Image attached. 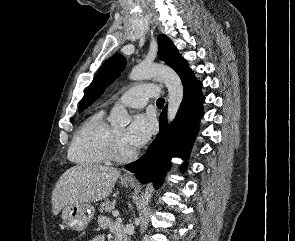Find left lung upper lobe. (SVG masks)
<instances>
[{
	"instance_id": "1",
	"label": "left lung upper lobe",
	"mask_w": 295,
	"mask_h": 241,
	"mask_svg": "<svg viewBox=\"0 0 295 241\" xmlns=\"http://www.w3.org/2000/svg\"><path fill=\"white\" fill-rule=\"evenodd\" d=\"M158 44L159 58L178 73L182 83L193 75L185 59L181 57L172 41L166 35L160 34L158 36ZM125 64V58L121 54H116L101 66L92 83L86 89L83 99L80 101V112L101 96L105 88L120 75Z\"/></svg>"
}]
</instances>
